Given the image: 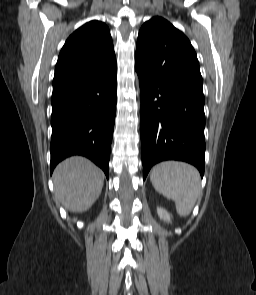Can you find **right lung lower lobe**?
<instances>
[{"label":"right lung lower lobe","instance_id":"obj_1","mask_svg":"<svg viewBox=\"0 0 256 295\" xmlns=\"http://www.w3.org/2000/svg\"><path fill=\"white\" fill-rule=\"evenodd\" d=\"M117 66L53 85L51 173L71 155L91 159L109 175L116 114Z\"/></svg>","mask_w":256,"mask_h":295}]
</instances>
